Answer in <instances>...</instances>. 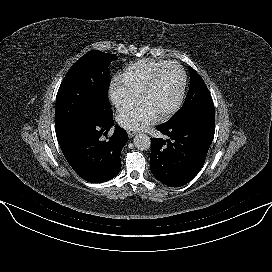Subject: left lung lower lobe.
Returning a JSON list of instances; mask_svg holds the SVG:
<instances>
[{
  "label": "left lung lower lobe",
  "instance_id": "1",
  "mask_svg": "<svg viewBox=\"0 0 272 272\" xmlns=\"http://www.w3.org/2000/svg\"><path fill=\"white\" fill-rule=\"evenodd\" d=\"M157 129L167 140L152 138L150 168L161 183L180 187L202 168L215 132V119L189 120L179 125L162 124Z\"/></svg>",
  "mask_w": 272,
  "mask_h": 272
}]
</instances>
